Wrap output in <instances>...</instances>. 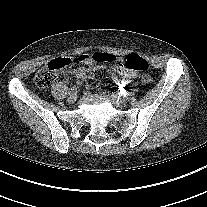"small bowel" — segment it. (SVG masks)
<instances>
[{"mask_svg": "<svg viewBox=\"0 0 207 207\" xmlns=\"http://www.w3.org/2000/svg\"><path fill=\"white\" fill-rule=\"evenodd\" d=\"M79 64L81 65L80 68L76 69L74 74L77 78L84 82H88L93 77V70L98 67L99 62L92 59L91 55L84 54L78 58ZM115 64L114 70L120 74L124 75L127 78H135L137 75L132 72L131 70L126 69L119 60L115 58L113 61ZM140 79L142 82L146 83L149 81V77L147 75H141Z\"/></svg>", "mask_w": 207, "mask_h": 207, "instance_id": "obj_1", "label": "small bowel"}]
</instances>
